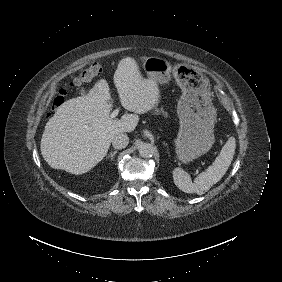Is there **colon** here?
Returning a JSON list of instances; mask_svg holds the SVG:
<instances>
[{
  "label": "colon",
  "instance_id": "1",
  "mask_svg": "<svg viewBox=\"0 0 282 282\" xmlns=\"http://www.w3.org/2000/svg\"><path fill=\"white\" fill-rule=\"evenodd\" d=\"M105 65L101 61H95L91 65H89L86 69L82 70L78 75H76L74 79L75 85H80L83 83H87L96 77H99L103 71H104ZM65 96V91L60 90L58 92V95L54 96L53 98V105L52 109L59 107ZM50 116V113L46 114V117L48 118Z\"/></svg>",
  "mask_w": 282,
  "mask_h": 282
}]
</instances>
